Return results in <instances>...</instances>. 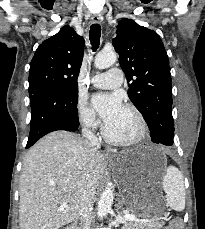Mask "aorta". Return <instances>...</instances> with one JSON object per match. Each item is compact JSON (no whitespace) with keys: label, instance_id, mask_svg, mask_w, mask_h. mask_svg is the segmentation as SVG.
Returning <instances> with one entry per match:
<instances>
[{"label":"aorta","instance_id":"762f6f07","mask_svg":"<svg viewBox=\"0 0 205 229\" xmlns=\"http://www.w3.org/2000/svg\"><path fill=\"white\" fill-rule=\"evenodd\" d=\"M117 60V54L114 51H102L98 53L94 60V65L98 69H106L112 66ZM114 191L113 187L107 186L98 201L97 215L103 218L111 209L113 204Z\"/></svg>","mask_w":205,"mask_h":229}]
</instances>
